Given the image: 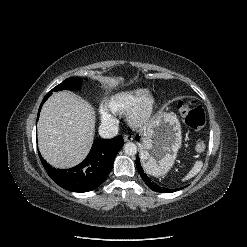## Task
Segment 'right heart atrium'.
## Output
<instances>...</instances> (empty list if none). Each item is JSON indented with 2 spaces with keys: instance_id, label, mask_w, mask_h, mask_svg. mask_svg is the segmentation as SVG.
Masks as SVG:
<instances>
[{
  "instance_id": "obj_1",
  "label": "right heart atrium",
  "mask_w": 247,
  "mask_h": 247,
  "mask_svg": "<svg viewBox=\"0 0 247 247\" xmlns=\"http://www.w3.org/2000/svg\"><path fill=\"white\" fill-rule=\"evenodd\" d=\"M100 115H101V120L104 123L111 124L114 122L113 117L108 112H106L105 110H101Z\"/></svg>"
}]
</instances>
